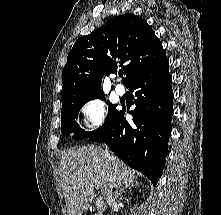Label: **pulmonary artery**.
Returning <instances> with one entry per match:
<instances>
[{
	"label": "pulmonary artery",
	"instance_id": "1",
	"mask_svg": "<svg viewBox=\"0 0 221 215\" xmlns=\"http://www.w3.org/2000/svg\"><path fill=\"white\" fill-rule=\"evenodd\" d=\"M115 91L118 95H123L125 93V87L122 84H117L115 86Z\"/></svg>",
	"mask_w": 221,
	"mask_h": 215
}]
</instances>
